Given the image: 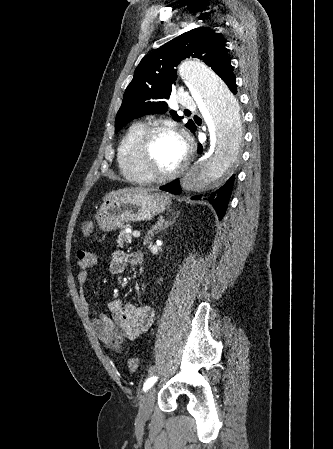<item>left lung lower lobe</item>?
<instances>
[{
  "instance_id": "left-lung-lower-lobe-1",
  "label": "left lung lower lobe",
  "mask_w": 333,
  "mask_h": 449,
  "mask_svg": "<svg viewBox=\"0 0 333 449\" xmlns=\"http://www.w3.org/2000/svg\"><path fill=\"white\" fill-rule=\"evenodd\" d=\"M223 81L227 84V86L229 87L231 92L236 94V92H237L236 78L232 71H230L226 75V77L223 79ZM199 153H201V152H199ZM234 177L235 176L232 175L222 187L215 190L214 192L195 195L192 197V199L193 200H201V199L208 200L213 205L214 209L216 210L219 219H222L225 215L226 207H227V204H228V201L230 198V194H231L233 182H234ZM160 189L170 192V193H173V194H179L181 192L179 180H175L169 184L161 186Z\"/></svg>"
}]
</instances>
